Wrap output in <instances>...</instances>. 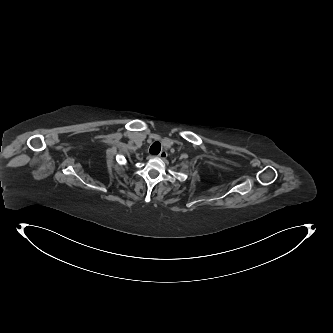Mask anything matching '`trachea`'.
<instances>
[{
  "instance_id": "trachea-1",
  "label": "trachea",
  "mask_w": 333,
  "mask_h": 333,
  "mask_svg": "<svg viewBox=\"0 0 333 333\" xmlns=\"http://www.w3.org/2000/svg\"><path fill=\"white\" fill-rule=\"evenodd\" d=\"M160 150H161V144L159 142H154L151 145L149 152L152 155H158L160 153Z\"/></svg>"
}]
</instances>
